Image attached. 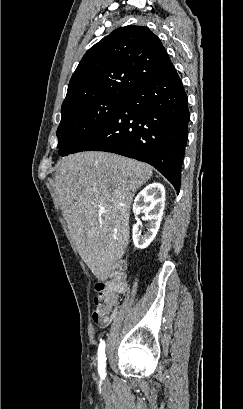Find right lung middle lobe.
I'll use <instances>...</instances> for the list:
<instances>
[{"mask_svg": "<svg viewBox=\"0 0 243 409\" xmlns=\"http://www.w3.org/2000/svg\"><path fill=\"white\" fill-rule=\"evenodd\" d=\"M126 97L96 98L61 109L57 130L58 154L66 156L85 140L102 130L118 112Z\"/></svg>", "mask_w": 243, "mask_h": 409, "instance_id": "dd1d6c3e", "label": "right lung middle lobe"}]
</instances>
